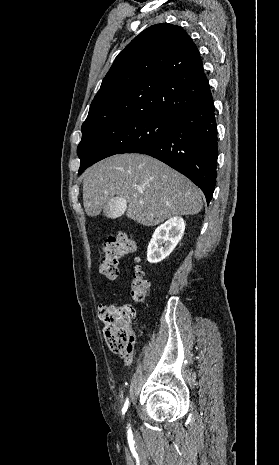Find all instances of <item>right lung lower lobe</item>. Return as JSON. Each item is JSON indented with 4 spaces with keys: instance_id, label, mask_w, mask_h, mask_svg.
<instances>
[{
    "instance_id": "1",
    "label": "right lung lower lobe",
    "mask_w": 279,
    "mask_h": 465,
    "mask_svg": "<svg viewBox=\"0 0 279 465\" xmlns=\"http://www.w3.org/2000/svg\"><path fill=\"white\" fill-rule=\"evenodd\" d=\"M137 153L150 155L188 177L211 201L217 177V127L211 92L202 103L176 114L161 138Z\"/></svg>"
}]
</instances>
